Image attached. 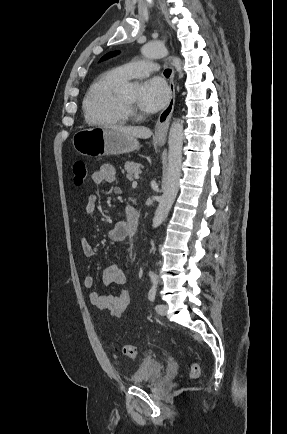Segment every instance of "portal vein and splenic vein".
Returning a JSON list of instances; mask_svg holds the SVG:
<instances>
[{
    "label": "portal vein and splenic vein",
    "mask_w": 287,
    "mask_h": 434,
    "mask_svg": "<svg viewBox=\"0 0 287 434\" xmlns=\"http://www.w3.org/2000/svg\"><path fill=\"white\" fill-rule=\"evenodd\" d=\"M137 186V181H133L132 182V187H136Z\"/></svg>",
    "instance_id": "obj_1"
}]
</instances>
